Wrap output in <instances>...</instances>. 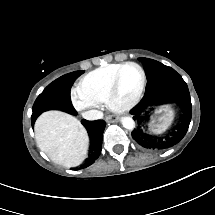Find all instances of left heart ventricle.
<instances>
[{
	"instance_id": "obj_1",
	"label": "left heart ventricle",
	"mask_w": 215,
	"mask_h": 215,
	"mask_svg": "<svg viewBox=\"0 0 215 215\" xmlns=\"http://www.w3.org/2000/svg\"><path fill=\"white\" fill-rule=\"evenodd\" d=\"M118 93H134L138 82V72L132 67H126L119 70Z\"/></svg>"
}]
</instances>
